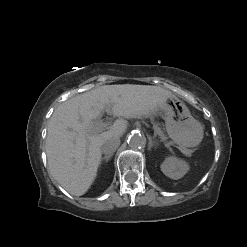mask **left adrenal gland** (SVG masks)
Returning <instances> with one entry per match:
<instances>
[{
  "label": "left adrenal gland",
  "instance_id": "a2214340",
  "mask_svg": "<svg viewBox=\"0 0 247 247\" xmlns=\"http://www.w3.org/2000/svg\"><path fill=\"white\" fill-rule=\"evenodd\" d=\"M148 139H149L148 150H151V148L155 146V143L152 141L151 137H148Z\"/></svg>",
  "mask_w": 247,
  "mask_h": 247
}]
</instances>
